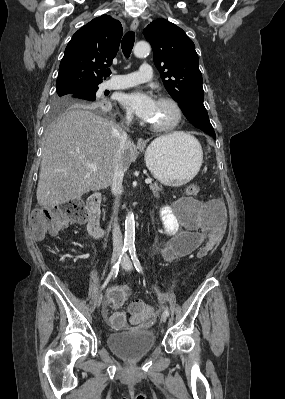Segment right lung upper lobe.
Here are the masks:
<instances>
[{"label": "right lung upper lobe", "mask_w": 285, "mask_h": 399, "mask_svg": "<svg viewBox=\"0 0 285 399\" xmlns=\"http://www.w3.org/2000/svg\"><path fill=\"white\" fill-rule=\"evenodd\" d=\"M123 28L102 15L79 29L68 43L59 66L56 90L89 89L102 82L104 68L116 56Z\"/></svg>", "instance_id": "cb5924a9"}]
</instances>
